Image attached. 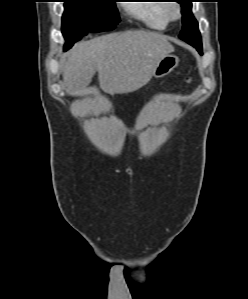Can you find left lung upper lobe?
<instances>
[{"instance_id": "obj_1", "label": "left lung upper lobe", "mask_w": 248, "mask_h": 299, "mask_svg": "<svg viewBox=\"0 0 248 299\" xmlns=\"http://www.w3.org/2000/svg\"><path fill=\"white\" fill-rule=\"evenodd\" d=\"M182 6L183 27L179 37L194 46L202 53L201 36L198 30V22L194 18L191 8L192 0H177Z\"/></svg>"}]
</instances>
